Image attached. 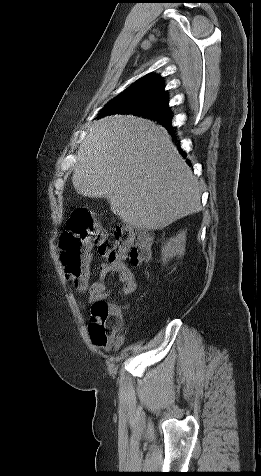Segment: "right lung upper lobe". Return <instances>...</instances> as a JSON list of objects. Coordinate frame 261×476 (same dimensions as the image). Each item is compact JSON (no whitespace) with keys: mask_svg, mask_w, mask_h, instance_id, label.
Returning a JSON list of instances; mask_svg holds the SVG:
<instances>
[{"mask_svg":"<svg viewBox=\"0 0 261 476\" xmlns=\"http://www.w3.org/2000/svg\"><path fill=\"white\" fill-rule=\"evenodd\" d=\"M117 97L121 102L157 101L168 105L164 82L157 75L140 78Z\"/></svg>","mask_w":261,"mask_h":476,"instance_id":"1","label":"right lung upper lobe"}]
</instances>
